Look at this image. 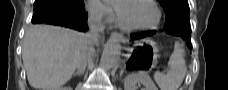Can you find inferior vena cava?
Instances as JSON below:
<instances>
[{"instance_id": "602c4592", "label": "inferior vena cava", "mask_w": 228, "mask_h": 90, "mask_svg": "<svg viewBox=\"0 0 228 90\" xmlns=\"http://www.w3.org/2000/svg\"><path fill=\"white\" fill-rule=\"evenodd\" d=\"M103 12L99 6H91L89 8V16H88V26L89 32L86 35L87 44L90 45L95 40H98L99 34L104 32V25L102 23ZM82 53L81 58L77 64L78 71L84 72L87 65V49Z\"/></svg>"}]
</instances>
